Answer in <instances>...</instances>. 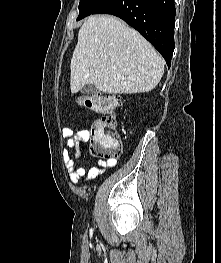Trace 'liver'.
I'll list each match as a JSON object with an SVG mask.
<instances>
[{
  "label": "liver",
  "instance_id": "liver-1",
  "mask_svg": "<svg viewBox=\"0 0 221 263\" xmlns=\"http://www.w3.org/2000/svg\"><path fill=\"white\" fill-rule=\"evenodd\" d=\"M165 62L136 30L110 15L90 16L81 26L70 64V88L86 84L109 94L151 91Z\"/></svg>",
  "mask_w": 221,
  "mask_h": 263
}]
</instances>
